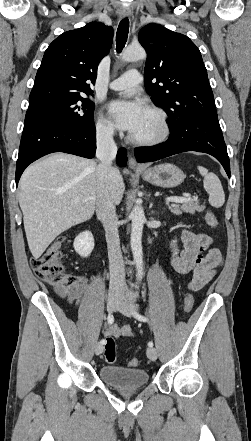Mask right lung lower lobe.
<instances>
[{"label": "right lung lower lobe", "mask_w": 251, "mask_h": 441, "mask_svg": "<svg viewBox=\"0 0 251 441\" xmlns=\"http://www.w3.org/2000/svg\"><path fill=\"white\" fill-rule=\"evenodd\" d=\"M53 152L93 158L96 152L95 126L77 129L48 116L27 112L16 165V185L29 164ZM126 162L127 152L120 148L117 163L125 166Z\"/></svg>", "instance_id": "obj_1"}]
</instances>
